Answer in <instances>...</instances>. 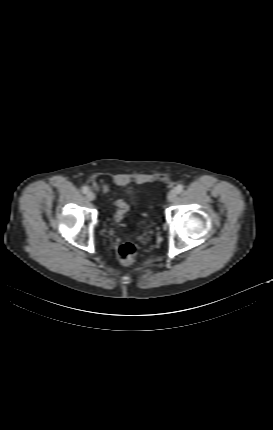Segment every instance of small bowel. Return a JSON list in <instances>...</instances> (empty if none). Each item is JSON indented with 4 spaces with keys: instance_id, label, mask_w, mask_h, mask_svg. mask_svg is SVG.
<instances>
[{
    "instance_id": "c3829d8e",
    "label": "small bowel",
    "mask_w": 273,
    "mask_h": 430,
    "mask_svg": "<svg viewBox=\"0 0 273 430\" xmlns=\"http://www.w3.org/2000/svg\"><path fill=\"white\" fill-rule=\"evenodd\" d=\"M104 191H105V192L107 191V187H106V186L104 187Z\"/></svg>"
}]
</instances>
